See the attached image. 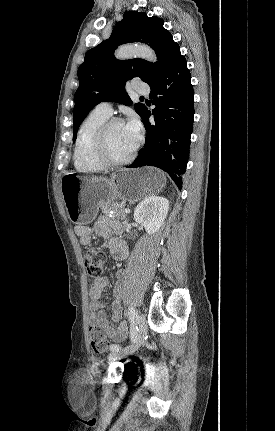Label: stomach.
I'll use <instances>...</instances> for the list:
<instances>
[{"instance_id": "stomach-1", "label": "stomach", "mask_w": 275, "mask_h": 431, "mask_svg": "<svg viewBox=\"0 0 275 431\" xmlns=\"http://www.w3.org/2000/svg\"><path fill=\"white\" fill-rule=\"evenodd\" d=\"M165 183L164 173L151 167L121 169L110 179L67 173L61 179V193L71 222L86 225L95 218L101 202L123 199L134 203L158 193Z\"/></svg>"}]
</instances>
